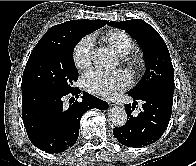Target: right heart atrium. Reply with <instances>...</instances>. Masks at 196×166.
Returning a JSON list of instances; mask_svg holds the SVG:
<instances>
[{
  "label": "right heart atrium",
  "instance_id": "1",
  "mask_svg": "<svg viewBox=\"0 0 196 166\" xmlns=\"http://www.w3.org/2000/svg\"><path fill=\"white\" fill-rule=\"evenodd\" d=\"M72 57L78 69H86L92 63L93 57V38L85 36L80 39L73 48Z\"/></svg>",
  "mask_w": 196,
  "mask_h": 166
}]
</instances>
